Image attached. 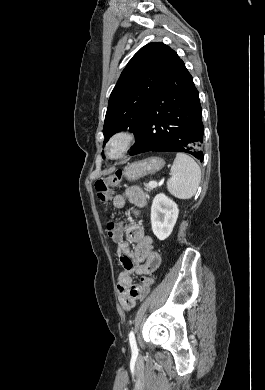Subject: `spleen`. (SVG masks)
Segmentation results:
<instances>
[{
	"mask_svg": "<svg viewBox=\"0 0 265 390\" xmlns=\"http://www.w3.org/2000/svg\"><path fill=\"white\" fill-rule=\"evenodd\" d=\"M200 179L199 165L190 156L178 153L171 167L167 189L179 199H190L196 193Z\"/></svg>",
	"mask_w": 265,
	"mask_h": 390,
	"instance_id": "3e777b00",
	"label": "spleen"
}]
</instances>
